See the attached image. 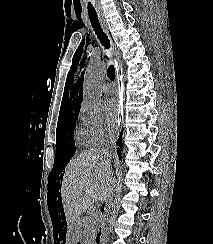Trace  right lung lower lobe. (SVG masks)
I'll return each instance as SVG.
<instances>
[{
	"mask_svg": "<svg viewBox=\"0 0 213 244\" xmlns=\"http://www.w3.org/2000/svg\"><path fill=\"white\" fill-rule=\"evenodd\" d=\"M122 133H123V131L121 132V134H120V136H119V138H118V142H117V146H118V148H117V153H118V155H119V157H120V149L122 148Z\"/></svg>",
	"mask_w": 213,
	"mask_h": 244,
	"instance_id": "98d812e1",
	"label": "right lung lower lobe"
}]
</instances>
